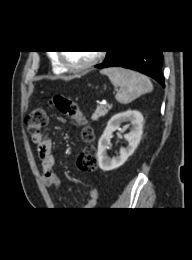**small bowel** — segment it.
<instances>
[{
  "label": "small bowel",
  "mask_w": 192,
  "mask_h": 260,
  "mask_svg": "<svg viewBox=\"0 0 192 260\" xmlns=\"http://www.w3.org/2000/svg\"><path fill=\"white\" fill-rule=\"evenodd\" d=\"M32 142L37 147L38 157L41 162V176L45 185L51 188H58L61 186V179L54 172L55 157L53 152L52 141L42 133L32 136ZM98 190L93 188L89 192L88 200L84 204V210L93 209L98 200Z\"/></svg>",
  "instance_id": "c3829d8e"
}]
</instances>
